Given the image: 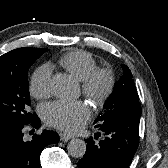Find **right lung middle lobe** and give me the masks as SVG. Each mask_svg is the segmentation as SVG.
<instances>
[{"mask_svg": "<svg viewBox=\"0 0 168 168\" xmlns=\"http://www.w3.org/2000/svg\"><path fill=\"white\" fill-rule=\"evenodd\" d=\"M48 49L22 48L15 59L0 66V125L30 123L37 115L29 112L28 69Z\"/></svg>", "mask_w": 168, "mask_h": 168, "instance_id": "right-lung-middle-lobe-1", "label": "right lung middle lobe"}]
</instances>
